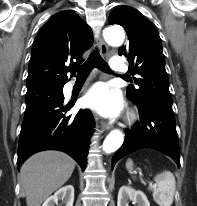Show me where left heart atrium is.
<instances>
[{
  "instance_id": "obj_1",
  "label": "left heart atrium",
  "mask_w": 197,
  "mask_h": 206,
  "mask_svg": "<svg viewBox=\"0 0 197 206\" xmlns=\"http://www.w3.org/2000/svg\"><path fill=\"white\" fill-rule=\"evenodd\" d=\"M86 104L95 107L102 114L111 116L120 107V98L116 92L109 90L104 84L95 85L85 98Z\"/></svg>"
}]
</instances>
